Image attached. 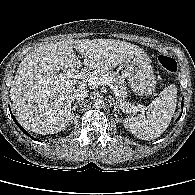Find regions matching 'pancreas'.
<instances>
[{"mask_svg": "<svg viewBox=\"0 0 195 195\" xmlns=\"http://www.w3.org/2000/svg\"><path fill=\"white\" fill-rule=\"evenodd\" d=\"M96 74H105L113 81V85H115L119 92H120V99L125 104L127 108H131L134 104L127 101V87L125 85V81L123 76H121L118 72L111 71V70H101L96 72Z\"/></svg>", "mask_w": 195, "mask_h": 195, "instance_id": "obj_1", "label": "pancreas"}]
</instances>
